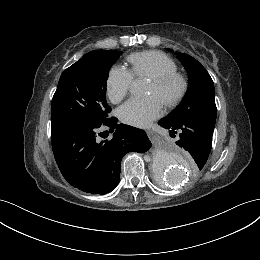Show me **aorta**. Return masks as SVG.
Listing matches in <instances>:
<instances>
[{"mask_svg":"<svg viewBox=\"0 0 260 260\" xmlns=\"http://www.w3.org/2000/svg\"><path fill=\"white\" fill-rule=\"evenodd\" d=\"M130 92L142 94L143 87L140 83H134ZM190 161L182 153L173 149H157L153 154V171L159 180L169 186L184 183L190 176Z\"/></svg>","mask_w":260,"mask_h":260,"instance_id":"1","label":"aorta"}]
</instances>
